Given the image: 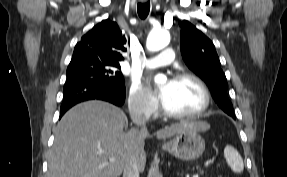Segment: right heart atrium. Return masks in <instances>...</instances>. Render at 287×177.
Returning a JSON list of instances; mask_svg holds the SVG:
<instances>
[{"label": "right heart atrium", "instance_id": "1", "mask_svg": "<svg viewBox=\"0 0 287 177\" xmlns=\"http://www.w3.org/2000/svg\"><path fill=\"white\" fill-rule=\"evenodd\" d=\"M128 105L133 115L141 117L153 116L158 108L155 98L137 79H134L129 87Z\"/></svg>", "mask_w": 287, "mask_h": 177}]
</instances>
